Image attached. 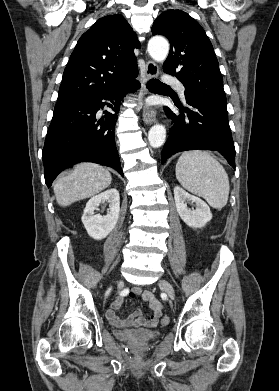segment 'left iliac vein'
Returning a JSON list of instances; mask_svg holds the SVG:
<instances>
[{"instance_id": "obj_1", "label": "left iliac vein", "mask_w": 279, "mask_h": 391, "mask_svg": "<svg viewBox=\"0 0 279 391\" xmlns=\"http://www.w3.org/2000/svg\"><path fill=\"white\" fill-rule=\"evenodd\" d=\"M158 285L164 289V291L167 293V295L173 299L175 297V291L171 283L165 279H161L158 282Z\"/></svg>"}]
</instances>
